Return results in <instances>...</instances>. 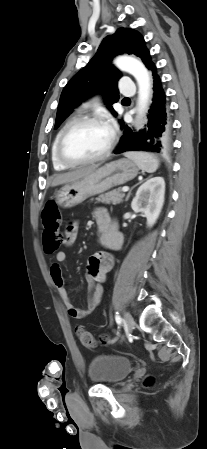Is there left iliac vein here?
I'll use <instances>...</instances> for the list:
<instances>
[{
	"label": "left iliac vein",
	"instance_id": "4c4485c4",
	"mask_svg": "<svg viewBox=\"0 0 207 449\" xmlns=\"http://www.w3.org/2000/svg\"><path fill=\"white\" fill-rule=\"evenodd\" d=\"M124 321H125L128 331L131 332L134 328L135 322L130 313H128V312L124 313Z\"/></svg>",
	"mask_w": 207,
	"mask_h": 449
}]
</instances>
